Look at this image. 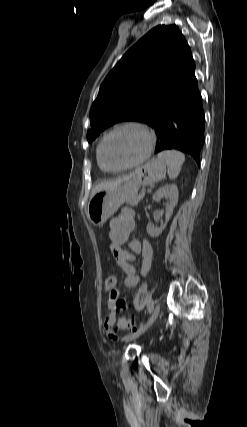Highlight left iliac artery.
<instances>
[{
	"label": "left iliac artery",
	"instance_id": "1",
	"mask_svg": "<svg viewBox=\"0 0 247 427\" xmlns=\"http://www.w3.org/2000/svg\"><path fill=\"white\" fill-rule=\"evenodd\" d=\"M153 307H154V303H153L152 301H150V302L148 303V311H149L150 313L152 312Z\"/></svg>",
	"mask_w": 247,
	"mask_h": 427
}]
</instances>
